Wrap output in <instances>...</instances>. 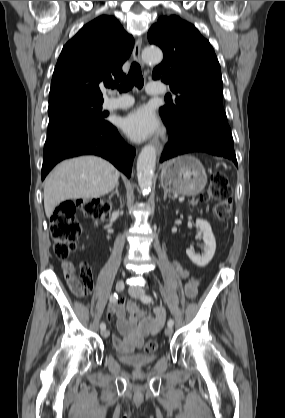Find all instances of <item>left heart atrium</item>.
Wrapping results in <instances>:
<instances>
[{
  "label": "left heart atrium",
  "mask_w": 285,
  "mask_h": 418,
  "mask_svg": "<svg viewBox=\"0 0 285 418\" xmlns=\"http://www.w3.org/2000/svg\"><path fill=\"white\" fill-rule=\"evenodd\" d=\"M122 128L130 139L141 142L158 132L160 123L150 107L140 106L123 119Z\"/></svg>",
  "instance_id": "obj_1"
}]
</instances>
